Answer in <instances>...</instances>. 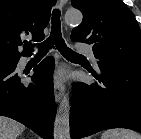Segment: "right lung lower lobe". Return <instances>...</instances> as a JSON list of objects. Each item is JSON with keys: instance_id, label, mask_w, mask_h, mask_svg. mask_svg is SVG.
I'll return each instance as SVG.
<instances>
[{"instance_id": "right-lung-lower-lobe-1", "label": "right lung lower lobe", "mask_w": 141, "mask_h": 139, "mask_svg": "<svg viewBox=\"0 0 141 139\" xmlns=\"http://www.w3.org/2000/svg\"><path fill=\"white\" fill-rule=\"evenodd\" d=\"M17 63L12 67L0 68V115L19 121L45 139H53L56 113L53 58L47 57L34 67L29 85L20 82Z\"/></svg>"}]
</instances>
